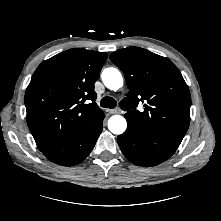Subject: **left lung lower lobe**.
<instances>
[{
    "label": "left lung lower lobe",
    "mask_w": 221,
    "mask_h": 221,
    "mask_svg": "<svg viewBox=\"0 0 221 221\" xmlns=\"http://www.w3.org/2000/svg\"><path fill=\"white\" fill-rule=\"evenodd\" d=\"M118 144L124 156L138 166H155L169 159L176 151L147 139L128 122L127 130L118 136Z\"/></svg>",
    "instance_id": "1"
}]
</instances>
